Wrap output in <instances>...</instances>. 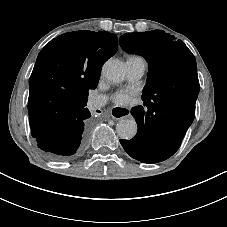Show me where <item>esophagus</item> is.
I'll use <instances>...</instances> for the list:
<instances>
[{
	"instance_id": "1",
	"label": "esophagus",
	"mask_w": 227,
	"mask_h": 227,
	"mask_svg": "<svg viewBox=\"0 0 227 227\" xmlns=\"http://www.w3.org/2000/svg\"><path fill=\"white\" fill-rule=\"evenodd\" d=\"M132 110L131 109H118V108H115L113 111H112V116L113 117H115V118H117V117H119V116H121V117H119L118 119H121V118H123V116L125 117V116H131L132 115Z\"/></svg>"
}]
</instances>
